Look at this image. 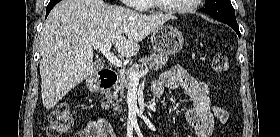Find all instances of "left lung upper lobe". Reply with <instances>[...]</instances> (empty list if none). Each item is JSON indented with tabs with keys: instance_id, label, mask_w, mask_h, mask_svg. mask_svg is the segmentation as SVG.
<instances>
[{
	"instance_id": "left-lung-upper-lobe-1",
	"label": "left lung upper lobe",
	"mask_w": 280,
	"mask_h": 137,
	"mask_svg": "<svg viewBox=\"0 0 280 137\" xmlns=\"http://www.w3.org/2000/svg\"><path fill=\"white\" fill-rule=\"evenodd\" d=\"M200 10L208 13L217 21L237 24L235 10L230 0H205V8Z\"/></svg>"
}]
</instances>
